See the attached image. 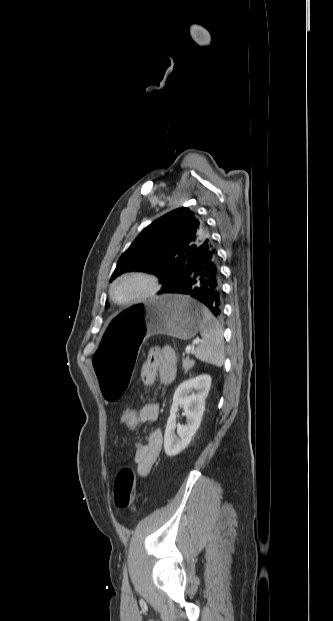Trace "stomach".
<instances>
[{"label": "stomach", "mask_w": 333, "mask_h": 621, "mask_svg": "<svg viewBox=\"0 0 333 621\" xmlns=\"http://www.w3.org/2000/svg\"><path fill=\"white\" fill-rule=\"evenodd\" d=\"M206 308L179 294L163 295L111 317L94 355L95 378L107 402H122L132 384L137 352L144 338L165 334L181 340L195 336Z\"/></svg>", "instance_id": "obj_1"}]
</instances>
